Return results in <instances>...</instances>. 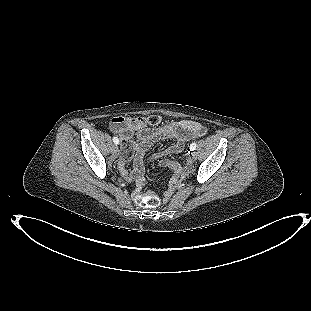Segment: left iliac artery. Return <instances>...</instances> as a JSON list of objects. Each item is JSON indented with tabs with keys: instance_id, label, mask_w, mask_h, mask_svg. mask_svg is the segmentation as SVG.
Instances as JSON below:
<instances>
[{
	"instance_id": "obj_1",
	"label": "left iliac artery",
	"mask_w": 311,
	"mask_h": 311,
	"mask_svg": "<svg viewBox=\"0 0 311 311\" xmlns=\"http://www.w3.org/2000/svg\"><path fill=\"white\" fill-rule=\"evenodd\" d=\"M196 146L197 144L195 142H193L191 145H190V149L191 151H194L196 149Z\"/></svg>"
}]
</instances>
